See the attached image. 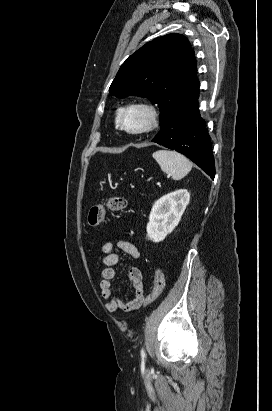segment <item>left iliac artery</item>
I'll use <instances>...</instances> for the list:
<instances>
[{
  "mask_svg": "<svg viewBox=\"0 0 272 411\" xmlns=\"http://www.w3.org/2000/svg\"><path fill=\"white\" fill-rule=\"evenodd\" d=\"M141 358H142V361H144L146 358V353H145L144 348L141 349Z\"/></svg>",
  "mask_w": 272,
  "mask_h": 411,
  "instance_id": "1",
  "label": "left iliac artery"
}]
</instances>
